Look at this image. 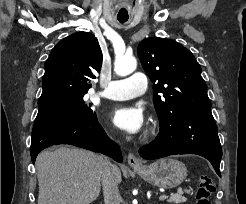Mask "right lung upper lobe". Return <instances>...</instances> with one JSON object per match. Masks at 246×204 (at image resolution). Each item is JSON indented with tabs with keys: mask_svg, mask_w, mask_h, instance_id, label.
Instances as JSON below:
<instances>
[{
	"mask_svg": "<svg viewBox=\"0 0 246 204\" xmlns=\"http://www.w3.org/2000/svg\"><path fill=\"white\" fill-rule=\"evenodd\" d=\"M101 65L102 51L93 34L78 32L66 37L52 49L45 62L39 101L67 93L87 92Z\"/></svg>",
	"mask_w": 246,
	"mask_h": 204,
	"instance_id": "cb5924a9",
	"label": "right lung upper lobe"
}]
</instances>
